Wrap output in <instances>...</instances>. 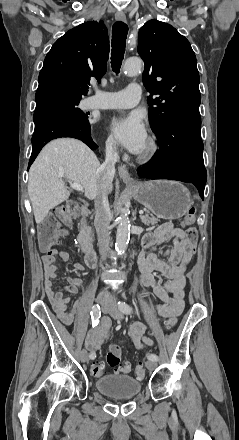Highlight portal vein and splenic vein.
<instances>
[{
	"label": "portal vein and splenic vein",
	"mask_w": 239,
	"mask_h": 440,
	"mask_svg": "<svg viewBox=\"0 0 239 440\" xmlns=\"http://www.w3.org/2000/svg\"><path fill=\"white\" fill-rule=\"evenodd\" d=\"M71 188H73V190H79V192H83V188L82 186H80V184H70ZM139 214L143 215L144 212H142V210H139Z\"/></svg>",
	"instance_id": "obj_1"
}]
</instances>
